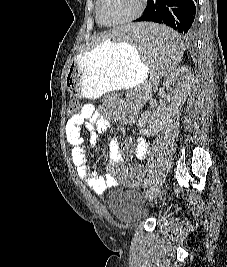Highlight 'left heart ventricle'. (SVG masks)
I'll list each match as a JSON object with an SVG mask.
<instances>
[{
	"mask_svg": "<svg viewBox=\"0 0 227 267\" xmlns=\"http://www.w3.org/2000/svg\"><path fill=\"white\" fill-rule=\"evenodd\" d=\"M139 5V0H103L102 18L106 22H115L129 17Z\"/></svg>",
	"mask_w": 227,
	"mask_h": 267,
	"instance_id": "obj_1",
	"label": "left heart ventricle"
}]
</instances>
